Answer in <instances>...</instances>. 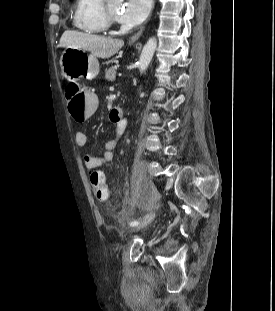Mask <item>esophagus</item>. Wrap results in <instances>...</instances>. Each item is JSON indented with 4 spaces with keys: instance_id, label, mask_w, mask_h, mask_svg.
I'll list each match as a JSON object with an SVG mask.
<instances>
[{
    "instance_id": "obj_1",
    "label": "esophagus",
    "mask_w": 275,
    "mask_h": 311,
    "mask_svg": "<svg viewBox=\"0 0 275 311\" xmlns=\"http://www.w3.org/2000/svg\"><path fill=\"white\" fill-rule=\"evenodd\" d=\"M154 4H155V1L153 2V8H154ZM143 29H144V28H142L140 31H138L135 35H133V36L131 37V39H130V42H131V43H133V42H135V41L138 40V38L142 35Z\"/></svg>"
}]
</instances>
